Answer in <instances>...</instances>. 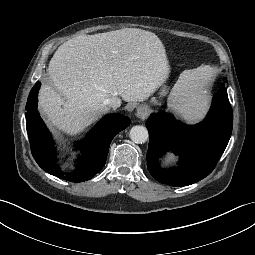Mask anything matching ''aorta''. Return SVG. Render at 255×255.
I'll list each match as a JSON object with an SVG mask.
<instances>
[{"instance_id":"obj_1","label":"aorta","mask_w":255,"mask_h":255,"mask_svg":"<svg viewBox=\"0 0 255 255\" xmlns=\"http://www.w3.org/2000/svg\"><path fill=\"white\" fill-rule=\"evenodd\" d=\"M148 131L144 126L136 125L130 130L129 137L136 144L145 143L148 139Z\"/></svg>"}]
</instances>
